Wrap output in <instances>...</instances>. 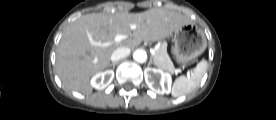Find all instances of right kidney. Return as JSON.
<instances>
[{
    "mask_svg": "<svg viewBox=\"0 0 276 120\" xmlns=\"http://www.w3.org/2000/svg\"><path fill=\"white\" fill-rule=\"evenodd\" d=\"M113 78H114L113 70H106L104 72H99L92 77L91 86L98 90H103L112 82Z\"/></svg>",
    "mask_w": 276,
    "mask_h": 120,
    "instance_id": "1",
    "label": "right kidney"
}]
</instances>
